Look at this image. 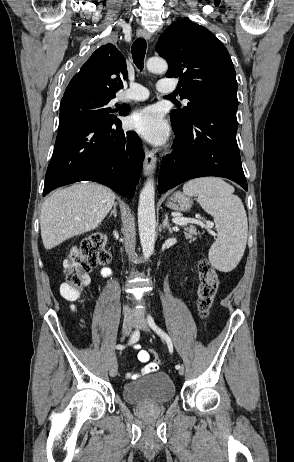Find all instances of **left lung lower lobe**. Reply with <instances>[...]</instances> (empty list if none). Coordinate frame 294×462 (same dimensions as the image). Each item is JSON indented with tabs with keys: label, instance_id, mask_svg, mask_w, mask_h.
<instances>
[{
	"label": "left lung lower lobe",
	"instance_id": "1",
	"mask_svg": "<svg viewBox=\"0 0 294 462\" xmlns=\"http://www.w3.org/2000/svg\"><path fill=\"white\" fill-rule=\"evenodd\" d=\"M238 105L222 103L208 106L186 126L173 122L174 150L163 158L158 191L163 193L193 178H228L247 191L235 138Z\"/></svg>",
	"mask_w": 294,
	"mask_h": 462
}]
</instances>
